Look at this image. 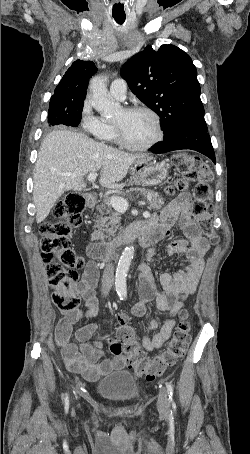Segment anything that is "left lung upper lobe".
Masks as SVG:
<instances>
[{"mask_svg": "<svg viewBox=\"0 0 250 454\" xmlns=\"http://www.w3.org/2000/svg\"><path fill=\"white\" fill-rule=\"evenodd\" d=\"M121 75L129 88L160 117L164 139L181 126L204 120L197 71L190 56L174 45L147 46L130 58Z\"/></svg>", "mask_w": 250, "mask_h": 454, "instance_id": "5c2ea615", "label": "left lung upper lobe"}]
</instances>
